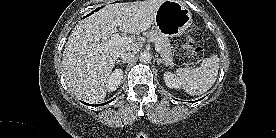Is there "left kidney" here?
I'll use <instances>...</instances> for the list:
<instances>
[{"label":"left kidney","instance_id":"5707ae66","mask_svg":"<svg viewBox=\"0 0 276 138\" xmlns=\"http://www.w3.org/2000/svg\"><path fill=\"white\" fill-rule=\"evenodd\" d=\"M164 80H165V84L167 85V87L169 88H175V89H180L181 88V81L180 79L175 76L172 72H166L164 73Z\"/></svg>","mask_w":276,"mask_h":138}]
</instances>
